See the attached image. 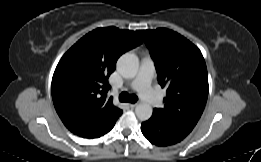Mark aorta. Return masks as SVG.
<instances>
[{
  "mask_svg": "<svg viewBox=\"0 0 261 162\" xmlns=\"http://www.w3.org/2000/svg\"><path fill=\"white\" fill-rule=\"evenodd\" d=\"M117 65L124 77L134 78L139 70V59L133 53H125L119 58ZM135 113L139 120L146 121L152 116L153 109L148 103H139Z\"/></svg>",
  "mask_w": 261,
  "mask_h": 162,
  "instance_id": "obj_1",
  "label": "aorta"
}]
</instances>
